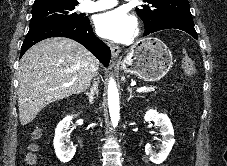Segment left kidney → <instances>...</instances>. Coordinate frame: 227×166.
Listing matches in <instances>:
<instances>
[{
  "instance_id": "5707ae66",
  "label": "left kidney",
  "mask_w": 227,
  "mask_h": 166,
  "mask_svg": "<svg viewBox=\"0 0 227 166\" xmlns=\"http://www.w3.org/2000/svg\"><path fill=\"white\" fill-rule=\"evenodd\" d=\"M145 121H153L155 126L160 128V135H162V143L159 146V152L153 151L150 144L145 145V153L150 157V161L155 164L163 163L169 155L174 143V130L169 117L165 114H160L156 110H149L144 116Z\"/></svg>"
}]
</instances>
